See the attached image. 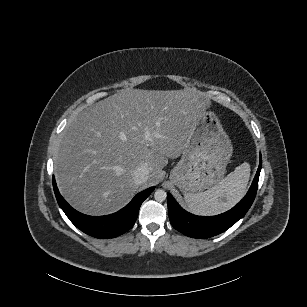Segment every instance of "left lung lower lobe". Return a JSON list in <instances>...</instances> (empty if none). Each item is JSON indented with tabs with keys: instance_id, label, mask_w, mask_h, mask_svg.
<instances>
[{
	"instance_id": "1",
	"label": "left lung lower lobe",
	"mask_w": 307,
	"mask_h": 307,
	"mask_svg": "<svg viewBox=\"0 0 307 307\" xmlns=\"http://www.w3.org/2000/svg\"><path fill=\"white\" fill-rule=\"evenodd\" d=\"M261 166L262 158L260 155L257 173L246 196L231 210L217 216L205 217L188 213L168 193V213L172 226L184 235L193 238H209L226 231L241 219L251 207L257 192Z\"/></svg>"
}]
</instances>
